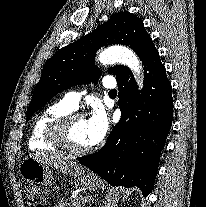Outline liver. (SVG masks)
<instances>
[{"instance_id": "6515ba94", "label": "liver", "mask_w": 206, "mask_h": 207, "mask_svg": "<svg viewBox=\"0 0 206 207\" xmlns=\"http://www.w3.org/2000/svg\"><path fill=\"white\" fill-rule=\"evenodd\" d=\"M31 158H34L37 161L70 176L76 177L84 173V169L81 165L77 164L76 162L67 160L66 158H63L59 155L37 154L31 156Z\"/></svg>"}]
</instances>
